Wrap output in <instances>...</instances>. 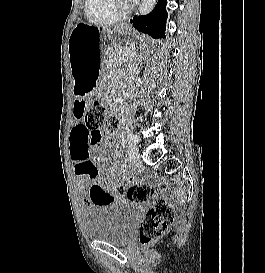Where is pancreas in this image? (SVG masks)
<instances>
[{
    "instance_id": "cf45deb5",
    "label": "pancreas",
    "mask_w": 265,
    "mask_h": 273,
    "mask_svg": "<svg viewBox=\"0 0 265 273\" xmlns=\"http://www.w3.org/2000/svg\"><path fill=\"white\" fill-rule=\"evenodd\" d=\"M131 53H133V50L131 49H116L114 51H111L109 54V60L106 61V64L108 67L110 68H117L119 65H121L122 63H132L133 62V58L130 55Z\"/></svg>"
}]
</instances>
